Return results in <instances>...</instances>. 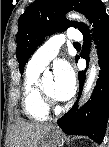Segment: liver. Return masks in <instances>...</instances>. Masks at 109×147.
Listing matches in <instances>:
<instances>
[{
	"mask_svg": "<svg viewBox=\"0 0 109 147\" xmlns=\"http://www.w3.org/2000/svg\"><path fill=\"white\" fill-rule=\"evenodd\" d=\"M54 127L52 124L18 120L12 127L8 147H39L41 138Z\"/></svg>",
	"mask_w": 109,
	"mask_h": 147,
	"instance_id": "liver-1",
	"label": "liver"
}]
</instances>
